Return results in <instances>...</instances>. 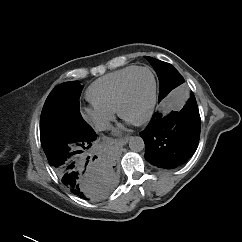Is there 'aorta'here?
Returning <instances> with one entry per match:
<instances>
[{"mask_svg":"<svg viewBox=\"0 0 242 242\" xmlns=\"http://www.w3.org/2000/svg\"><path fill=\"white\" fill-rule=\"evenodd\" d=\"M129 148L133 152H140L145 148L144 140L140 136H133L129 139Z\"/></svg>","mask_w":242,"mask_h":242,"instance_id":"1","label":"aorta"}]
</instances>
